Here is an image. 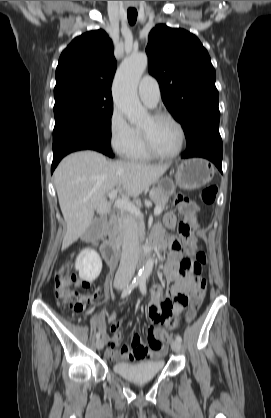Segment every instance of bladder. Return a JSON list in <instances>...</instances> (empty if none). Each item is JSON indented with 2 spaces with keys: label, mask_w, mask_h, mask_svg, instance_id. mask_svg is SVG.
Returning a JSON list of instances; mask_svg holds the SVG:
<instances>
[{
  "label": "bladder",
  "mask_w": 271,
  "mask_h": 418,
  "mask_svg": "<svg viewBox=\"0 0 271 418\" xmlns=\"http://www.w3.org/2000/svg\"><path fill=\"white\" fill-rule=\"evenodd\" d=\"M164 368V360H146L142 362L117 361L113 371L120 377L137 384L147 383L157 377Z\"/></svg>",
  "instance_id": "obj_1"
}]
</instances>
